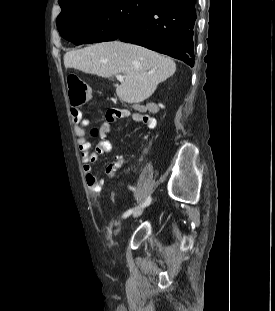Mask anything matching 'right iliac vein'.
<instances>
[{
	"label": "right iliac vein",
	"mask_w": 275,
	"mask_h": 311,
	"mask_svg": "<svg viewBox=\"0 0 275 311\" xmlns=\"http://www.w3.org/2000/svg\"><path fill=\"white\" fill-rule=\"evenodd\" d=\"M143 210H144V207H141V206L138 207V208L135 210V212L133 213V217H134V218L139 217V216L142 214Z\"/></svg>",
	"instance_id": "obj_1"
}]
</instances>
